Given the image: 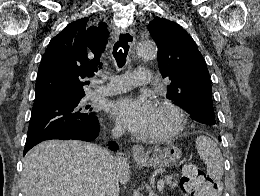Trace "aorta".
Wrapping results in <instances>:
<instances>
[{"instance_id": "762f6f07", "label": "aorta", "mask_w": 260, "mask_h": 196, "mask_svg": "<svg viewBox=\"0 0 260 196\" xmlns=\"http://www.w3.org/2000/svg\"><path fill=\"white\" fill-rule=\"evenodd\" d=\"M137 54L143 58H154L157 55V47L152 41H143L137 45Z\"/></svg>"}]
</instances>
